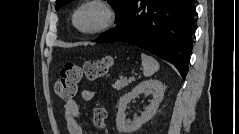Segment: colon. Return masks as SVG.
I'll list each match as a JSON object with an SVG mask.
<instances>
[{"instance_id": "obj_1", "label": "colon", "mask_w": 239, "mask_h": 134, "mask_svg": "<svg viewBox=\"0 0 239 134\" xmlns=\"http://www.w3.org/2000/svg\"><path fill=\"white\" fill-rule=\"evenodd\" d=\"M113 62L112 57L105 56L97 61H88L82 65L66 63L59 73L55 83L56 94L64 100L72 99L78 90L79 83L83 77L90 81L104 77ZM107 111L105 108H96L94 111V124L97 128L105 127Z\"/></svg>"}]
</instances>
